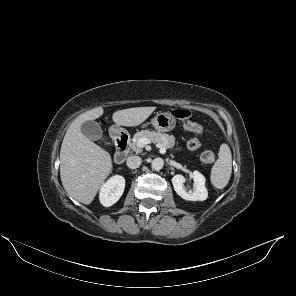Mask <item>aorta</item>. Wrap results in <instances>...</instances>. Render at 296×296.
<instances>
[{
  "instance_id": "1",
  "label": "aorta",
  "mask_w": 296,
  "mask_h": 296,
  "mask_svg": "<svg viewBox=\"0 0 296 296\" xmlns=\"http://www.w3.org/2000/svg\"><path fill=\"white\" fill-rule=\"evenodd\" d=\"M164 166V160L162 158H155L152 162H151V167L154 170H160L162 169Z\"/></svg>"
}]
</instances>
